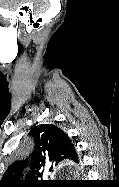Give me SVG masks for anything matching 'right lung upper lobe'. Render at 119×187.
<instances>
[{"label":"right lung upper lobe","instance_id":"1","mask_svg":"<svg viewBox=\"0 0 119 187\" xmlns=\"http://www.w3.org/2000/svg\"><path fill=\"white\" fill-rule=\"evenodd\" d=\"M37 138L38 150L36 152L37 165L41 167L42 163H49L50 160L60 157H71L74 147L71 144L67 134L55 125H38L31 130ZM35 161V163H36ZM39 169V168H37ZM10 175L17 174L19 170L14 167L9 168ZM41 171V170H40Z\"/></svg>","mask_w":119,"mask_h":187}]
</instances>
